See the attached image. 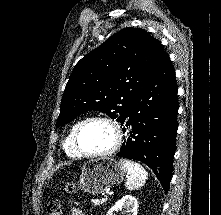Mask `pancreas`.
<instances>
[{
	"label": "pancreas",
	"instance_id": "obj_1",
	"mask_svg": "<svg viewBox=\"0 0 221 215\" xmlns=\"http://www.w3.org/2000/svg\"><path fill=\"white\" fill-rule=\"evenodd\" d=\"M91 202L95 205V206H100L105 204L106 200L103 199H93L91 200Z\"/></svg>",
	"mask_w": 221,
	"mask_h": 215
}]
</instances>
